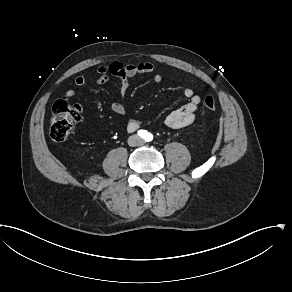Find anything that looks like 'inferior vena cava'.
I'll use <instances>...</instances> for the list:
<instances>
[{
	"label": "inferior vena cava",
	"instance_id": "obj_1",
	"mask_svg": "<svg viewBox=\"0 0 292 292\" xmlns=\"http://www.w3.org/2000/svg\"><path fill=\"white\" fill-rule=\"evenodd\" d=\"M130 138H131V140L134 141L135 146H140V145L144 144V140L141 137H139L138 135H133Z\"/></svg>",
	"mask_w": 292,
	"mask_h": 292
}]
</instances>
